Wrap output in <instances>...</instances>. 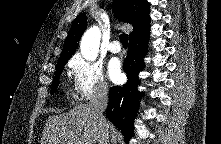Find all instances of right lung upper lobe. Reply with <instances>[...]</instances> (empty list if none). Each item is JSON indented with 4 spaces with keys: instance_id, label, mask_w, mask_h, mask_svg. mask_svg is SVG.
Segmentation results:
<instances>
[{
    "instance_id": "cb5924a9",
    "label": "right lung upper lobe",
    "mask_w": 221,
    "mask_h": 144,
    "mask_svg": "<svg viewBox=\"0 0 221 144\" xmlns=\"http://www.w3.org/2000/svg\"><path fill=\"white\" fill-rule=\"evenodd\" d=\"M113 9L120 20L133 25L130 37L150 27V4L147 0H113ZM86 24V15L81 13L71 26L57 64L67 62L73 55L86 29Z\"/></svg>"
}]
</instances>
